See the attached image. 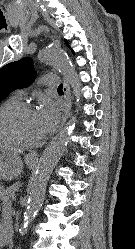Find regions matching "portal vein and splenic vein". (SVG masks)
I'll use <instances>...</instances> for the list:
<instances>
[{"instance_id":"obj_1","label":"portal vein and splenic vein","mask_w":135,"mask_h":249,"mask_svg":"<svg viewBox=\"0 0 135 249\" xmlns=\"http://www.w3.org/2000/svg\"><path fill=\"white\" fill-rule=\"evenodd\" d=\"M11 200H12V201H16V197H15V196H12V197H11Z\"/></svg>"}]
</instances>
